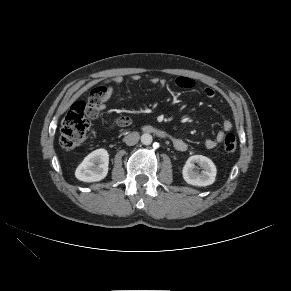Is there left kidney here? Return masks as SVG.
Returning <instances> with one entry per match:
<instances>
[{
  "label": "left kidney",
  "instance_id": "1",
  "mask_svg": "<svg viewBox=\"0 0 291 291\" xmlns=\"http://www.w3.org/2000/svg\"><path fill=\"white\" fill-rule=\"evenodd\" d=\"M195 164L200 165L203 170L199 173ZM184 180L193 186L204 187L214 183L217 174L215 164L211 159L202 155H193L186 161L182 170Z\"/></svg>",
  "mask_w": 291,
  "mask_h": 291
}]
</instances>
